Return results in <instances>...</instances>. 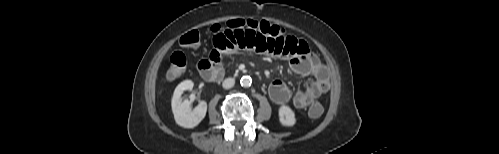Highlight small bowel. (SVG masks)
Listing matches in <instances>:
<instances>
[{"instance_id":"obj_1","label":"small bowel","mask_w":499,"mask_h":154,"mask_svg":"<svg viewBox=\"0 0 499 154\" xmlns=\"http://www.w3.org/2000/svg\"><path fill=\"white\" fill-rule=\"evenodd\" d=\"M214 49L208 59L198 64L206 81H217L224 74L222 57L237 51H252L272 57L285 58L291 70L300 76H311L312 82L304 89L292 94L281 80H274L269 86V95L277 105L292 102L294 107L304 109L330 89L329 75L322 61L311 52L306 41L292 36H269L258 30L224 29L213 37Z\"/></svg>"}]
</instances>
